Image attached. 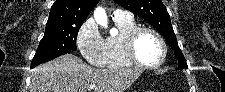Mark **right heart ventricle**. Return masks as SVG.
Listing matches in <instances>:
<instances>
[{
    "label": "right heart ventricle",
    "mask_w": 225,
    "mask_h": 92,
    "mask_svg": "<svg viewBox=\"0 0 225 92\" xmlns=\"http://www.w3.org/2000/svg\"><path fill=\"white\" fill-rule=\"evenodd\" d=\"M118 33L105 39V65L110 69L131 68L133 65L125 56L123 43L126 35L137 27L133 17L114 19Z\"/></svg>",
    "instance_id": "e07e8e85"
}]
</instances>
